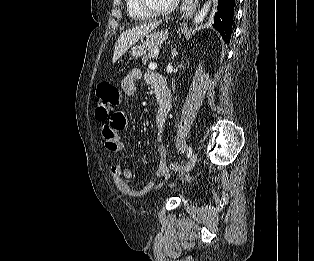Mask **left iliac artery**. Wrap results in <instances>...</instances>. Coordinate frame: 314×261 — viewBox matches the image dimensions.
<instances>
[{"label": "left iliac artery", "mask_w": 314, "mask_h": 261, "mask_svg": "<svg viewBox=\"0 0 314 261\" xmlns=\"http://www.w3.org/2000/svg\"><path fill=\"white\" fill-rule=\"evenodd\" d=\"M192 152H193L192 148L189 147V148L187 149V157H188V158L191 157Z\"/></svg>", "instance_id": "obj_1"}]
</instances>
